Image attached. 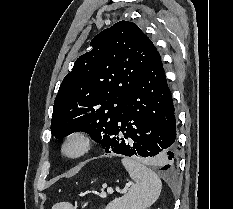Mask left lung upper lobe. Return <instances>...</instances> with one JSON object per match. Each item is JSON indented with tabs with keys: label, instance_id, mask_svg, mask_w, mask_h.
<instances>
[{
	"label": "left lung upper lobe",
	"instance_id": "1",
	"mask_svg": "<svg viewBox=\"0 0 233 209\" xmlns=\"http://www.w3.org/2000/svg\"><path fill=\"white\" fill-rule=\"evenodd\" d=\"M90 45L92 50L75 61L60 85L51 130L58 139L76 131L87 132L102 145L157 49L135 23L128 21L103 30Z\"/></svg>",
	"mask_w": 233,
	"mask_h": 209
}]
</instances>
